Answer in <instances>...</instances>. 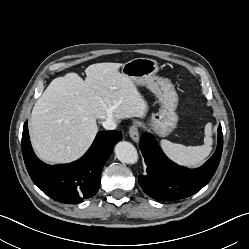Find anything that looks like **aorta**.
<instances>
[{"mask_svg":"<svg viewBox=\"0 0 249 249\" xmlns=\"http://www.w3.org/2000/svg\"><path fill=\"white\" fill-rule=\"evenodd\" d=\"M114 151L115 156L122 163L135 164L138 160L137 150L130 142H118L115 146Z\"/></svg>","mask_w":249,"mask_h":249,"instance_id":"762f6f07","label":"aorta"}]
</instances>
